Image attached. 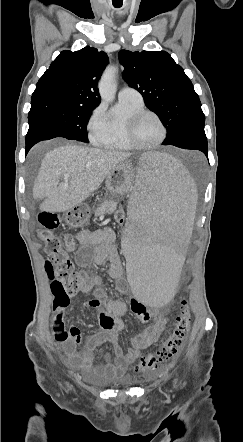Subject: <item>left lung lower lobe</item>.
<instances>
[{
	"label": "left lung lower lobe",
	"mask_w": 243,
	"mask_h": 442,
	"mask_svg": "<svg viewBox=\"0 0 243 442\" xmlns=\"http://www.w3.org/2000/svg\"><path fill=\"white\" fill-rule=\"evenodd\" d=\"M204 123L205 122H200L192 125L182 135L171 141L169 145L184 149L200 150L208 157Z\"/></svg>",
	"instance_id": "1"
}]
</instances>
